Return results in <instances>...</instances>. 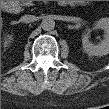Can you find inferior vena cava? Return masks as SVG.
I'll list each match as a JSON object with an SVG mask.
<instances>
[{"label": "inferior vena cava", "mask_w": 109, "mask_h": 109, "mask_svg": "<svg viewBox=\"0 0 109 109\" xmlns=\"http://www.w3.org/2000/svg\"><path fill=\"white\" fill-rule=\"evenodd\" d=\"M34 20H35V16L33 15H24L20 18V21L24 23H30L33 22Z\"/></svg>", "instance_id": "1"}]
</instances>
